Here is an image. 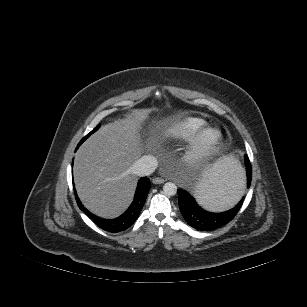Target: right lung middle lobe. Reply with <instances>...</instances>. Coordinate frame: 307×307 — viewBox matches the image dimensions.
I'll return each instance as SVG.
<instances>
[{
  "mask_svg": "<svg viewBox=\"0 0 307 307\" xmlns=\"http://www.w3.org/2000/svg\"><path fill=\"white\" fill-rule=\"evenodd\" d=\"M98 128H99V125H97L87 136H85V137L82 139L81 143H82L86 138H88L92 133H94Z\"/></svg>",
  "mask_w": 307,
  "mask_h": 307,
  "instance_id": "obj_1",
  "label": "right lung middle lobe"
}]
</instances>
